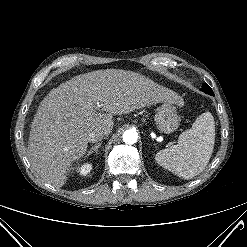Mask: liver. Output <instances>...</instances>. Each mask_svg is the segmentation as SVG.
<instances>
[{"instance_id":"liver-1","label":"liver","mask_w":247,"mask_h":247,"mask_svg":"<svg viewBox=\"0 0 247 247\" xmlns=\"http://www.w3.org/2000/svg\"><path fill=\"white\" fill-rule=\"evenodd\" d=\"M160 102L180 103L181 97L132 71L106 69L75 76L40 103L29 135V161L41 179L60 188L72 163L85 155L91 132L100 129L108 135L113 115Z\"/></svg>"}]
</instances>
